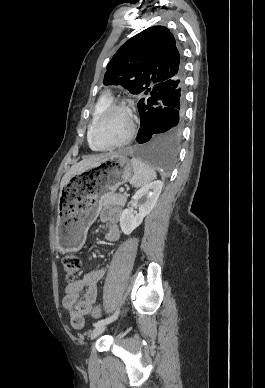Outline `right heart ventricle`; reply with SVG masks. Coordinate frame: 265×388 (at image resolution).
Listing matches in <instances>:
<instances>
[{
	"label": "right heart ventricle",
	"mask_w": 265,
	"mask_h": 388,
	"mask_svg": "<svg viewBox=\"0 0 265 388\" xmlns=\"http://www.w3.org/2000/svg\"><path fill=\"white\" fill-rule=\"evenodd\" d=\"M112 102V98L109 95H105L100 99V101L96 104L94 111H93V117L92 121L88 127V133H87V138L90 146L94 149H97V146L93 144L92 138H91V130H92V125L93 122L95 121L96 117L99 115V113L102 111L104 107H106L108 104Z\"/></svg>",
	"instance_id": "e07e8e85"
}]
</instances>
